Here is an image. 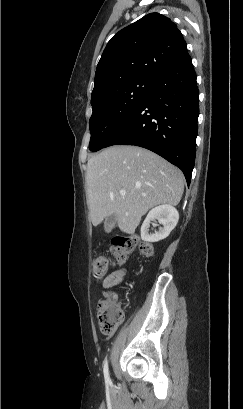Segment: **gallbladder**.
Here are the masks:
<instances>
[{"label": "gallbladder", "instance_id": "1", "mask_svg": "<svg viewBox=\"0 0 243 409\" xmlns=\"http://www.w3.org/2000/svg\"><path fill=\"white\" fill-rule=\"evenodd\" d=\"M116 224V217L115 215H110L105 220V232L109 233L115 227Z\"/></svg>", "mask_w": 243, "mask_h": 409}]
</instances>
